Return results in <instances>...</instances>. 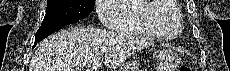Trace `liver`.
<instances>
[{"mask_svg": "<svg viewBox=\"0 0 230 71\" xmlns=\"http://www.w3.org/2000/svg\"><path fill=\"white\" fill-rule=\"evenodd\" d=\"M151 44L144 38L71 27L52 34L39 44L29 71H90L93 60L103 55L106 67L112 70Z\"/></svg>", "mask_w": 230, "mask_h": 71, "instance_id": "liver-1", "label": "liver"}]
</instances>
